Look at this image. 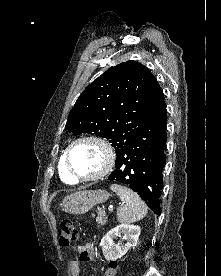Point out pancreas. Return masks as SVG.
Wrapping results in <instances>:
<instances>
[{"label":"pancreas","instance_id":"obj_1","mask_svg":"<svg viewBox=\"0 0 221 276\" xmlns=\"http://www.w3.org/2000/svg\"><path fill=\"white\" fill-rule=\"evenodd\" d=\"M106 219H107L106 215L100 211L96 218V222L98 225H104L106 224Z\"/></svg>","mask_w":221,"mask_h":276}]
</instances>
